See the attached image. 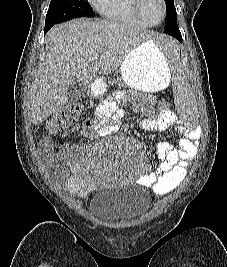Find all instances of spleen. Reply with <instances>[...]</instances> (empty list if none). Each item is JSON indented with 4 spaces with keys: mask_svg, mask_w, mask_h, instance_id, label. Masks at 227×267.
<instances>
[{
    "mask_svg": "<svg viewBox=\"0 0 227 267\" xmlns=\"http://www.w3.org/2000/svg\"><path fill=\"white\" fill-rule=\"evenodd\" d=\"M154 47H162V55H169V59H180L179 51L181 46L175 41V36H152ZM172 81H191V76H187L186 63H175V67H170ZM174 88L173 98H187V100H173V105H195L194 93L190 92L192 82H171ZM177 115H198L197 106H175ZM180 125L184 129H201L199 124L200 116H179Z\"/></svg>",
    "mask_w": 227,
    "mask_h": 267,
    "instance_id": "1",
    "label": "spleen"
}]
</instances>
